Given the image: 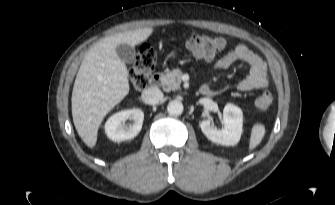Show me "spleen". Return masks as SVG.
<instances>
[{"label": "spleen", "instance_id": "3e777b00", "mask_svg": "<svg viewBox=\"0 0 335 205\" xmlns=\"http://www.w3.org/2000/svg\"><path fill=\"white\" fill-rule=\"evenodd\" d=\"M265 135V126L263 124L257 123L253 125L250 142H249V149L253 150L259 143L262 141Z\"/></svg>", "mask_w": 335, "mask_h": 205}]
</instances>
